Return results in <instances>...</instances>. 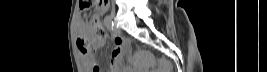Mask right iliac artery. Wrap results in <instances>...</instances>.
<instances>
[{
  "label": "right iliac artery",
  "mask_w": 267,
  "mask_h": 72,
  "mask_svg": "<svg viewBox=\"0 0 267 72\" xmlns=\"http://www.w3.org/2000/svg\"><path fill=\"white\" fill-rule=\"evenodd\" d=\"M104 22H105L106 27L109 30H113L114 24H113L112 18L110 16H106Z\"/></svg>",
  "instance_id": "82829eb1"
}]
</instances>
